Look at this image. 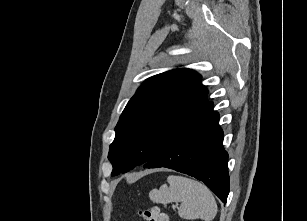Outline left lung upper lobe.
Wrapping results in <instances>:
<instances>
[{
	"label": "left lung upper lobe",
	"mask_w": 307,
	"mask_h": 221,
	"mask_svg": "<svg viewBox=\"0 0 307 221\" xmlns=\"http://www.w3.org/2000/svg\"><path fill=\"white\" fill-rule=\"evenodd\" d=\"M201 77L187 68L148 78L120 116L109 148L112 176L145 164L213 106Z\"/></svg>",
	"instance_id": "obj_1"
}]
</instances>
